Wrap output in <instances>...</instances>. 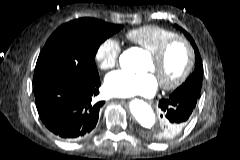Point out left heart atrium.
I'll return each mask as SVG.
<instances>
[{
    "label": "left heart atrium",
    "mask_w": 240,
    "mask_h": 160,
    "mask_svg": "<svg viewBox=\"0 0 240 160\" xmlns=\"http://www.w3.org/2000/svg\"><path fill=\"white\" fill-rule=\"evenodd\" d=\"M158 88V81L154 74H131L125 71L110 73L104 83L107 94L118 97L136 95L153 96Z\"/></svg>",
    "instance_id": "left-heart-atrium-1"
}]
</instances>
